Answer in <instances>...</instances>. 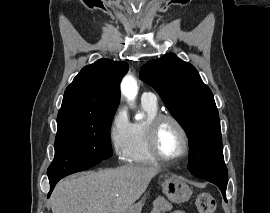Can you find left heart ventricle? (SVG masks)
<instances>
[{"instance_id": "1", "label": "left heart ventricle", "mask_w": 270, "mask_h": 213, "mask_svg": "<svg viewBox=\"0 0 270 213\" xmlns=\"http://www.w3.org/2000/svg\"><path fill=\"white\" fill-rule=\"evenodd\" d=\"M158 147L162 154L167 157H178L184 151V139L171 121H165L159 129Z\"/></svg>"}]
</instances>
